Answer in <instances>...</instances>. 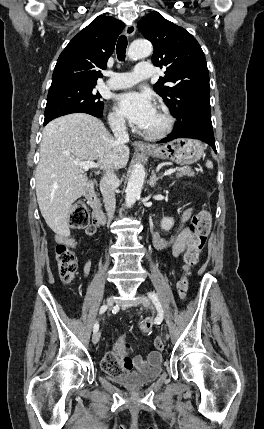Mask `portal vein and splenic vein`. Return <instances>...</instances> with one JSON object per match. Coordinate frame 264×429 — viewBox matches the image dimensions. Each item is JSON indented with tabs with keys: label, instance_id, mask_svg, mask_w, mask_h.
Segmentation results:
<instances>
[{
	"label": "portal vein and splenic vein",
	"instance_id": "18ae733b",
	"mask_svg": "<svg viewBox=\"0 0 264 429\" xmlns=\"http://www.w3.org/2000/svg\"><path fill=\"white\" fill-rule=\"evenodd\" d=\"M73 163L82 168L84 171L98 167V164L93 161H74ZM174 172H176L175 168L168 169L164 172V176L171 175Z\"/></svg>",
	"mask_w": 264,
	"mask_h": 429
}]
</instances>
